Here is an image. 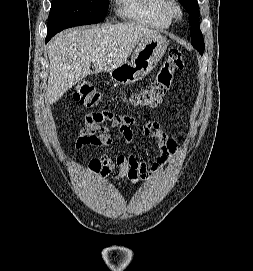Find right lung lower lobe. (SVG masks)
Segmentation results:
<instances>
[{
    "label": "right lung lower lobe",
    "mask_w": 253,
    "mask_h": 271,
    "mask_svg": "<svg viewBox=\"0 0 253 271\" xmlns=\"http://www.w3.org/2000/svg\"><path fill=\"white\" fill-rule=\"evenodd\" d=\"M51 37H53L52 35H47L46 37V43L51 39Z\"/></svg>",
    "instance_id": "right-lung-lower-lobe-1"
}]
</instances>
